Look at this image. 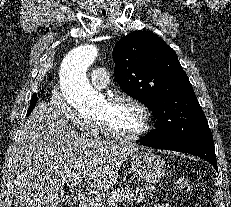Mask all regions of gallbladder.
<instances>
[{
  "mask_svg": "<svg viewBox=\"0 0 231 207\" xmlns=\"http://www.w3.org/2000/svg\"><path fill=\"white\" fill-rule=\"evenodd\" d=\"M77 202V199L72 196H67L65 199V205L71 206Z\"/></svg>",
  "mask_w": 231,
  "mask_h": 207,
  "instance_id": "bac80fb5",
  "label": "gallbladder"
}]
</instances>
